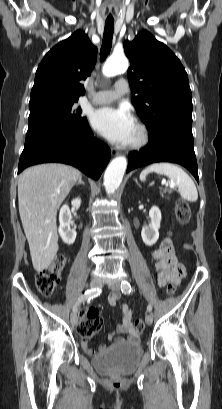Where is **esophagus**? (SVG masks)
Here are the masks:
<instances>
[{
    "label": "esophagus",
    "mask_w": 222,
    "mask_h": 409,
    "mask_svg": "<svg viewBox=\"0 0 222 409\" xmlns=\"http://www.w3.org/2000/svg\"><path fill=\"white\" fill-rule=\"evenodd\" d=\"M111 153L114 154V155H116V154H118V151H117L116 149L112 148V149H111Z\"/></svg>",
    "instance_id": "1"
}]
</instances>
